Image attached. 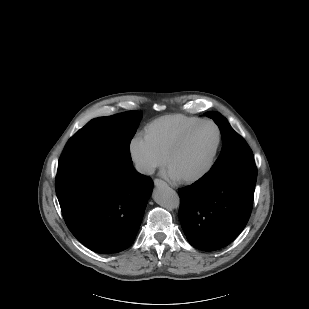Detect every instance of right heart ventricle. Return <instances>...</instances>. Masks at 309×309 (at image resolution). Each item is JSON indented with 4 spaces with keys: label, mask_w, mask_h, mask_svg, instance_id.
I'll use <instances>...</instances> for the list:
<instances>
[{
    "label": "right heart ventricle",
    "mask_w": 309,
    "mask_h": 309,
    "mask_svg": "<svg viewBox=\"0 0 309 309\" xmlns=\"http://www.w3.org/2000/svg\"><path fill=\"white\" fill-rule=\"evenodd\" d=\"M202 120L185 114L164 115L151 121L144 130V137L150 145L165 158L169 148L188 127Z\"/></svg>",
    "instance_id": "right-heart-ventricle-1"
}]
</instances>
